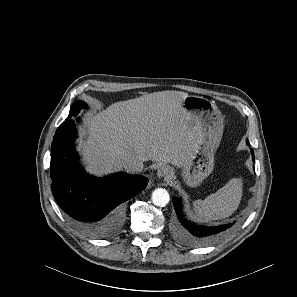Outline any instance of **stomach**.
Here are the masks:
<instances>
[{
	"instance_id": "0dacf381",
	"label": "stomach",
	"mask_w": 297,
	"mask_h": 297,
	"mask_svg": "<svg viewBox=\"0 0 297 297\" xmlns=\"http://www.w3.org/2000/svg\"><path fill=\"white\" fill-rule=\"evenodd\" d=\"M185 116L190 117L199 129L196 146L179 169L185 183L196 187L214 169V154L223 134V117L217 106L206 98L189 95L182 103Z\"/></svg>"
}]
</instances>
